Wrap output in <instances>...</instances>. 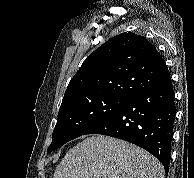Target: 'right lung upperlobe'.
<instances>
[{
  "label": "right lung upper lobe",
  "mask_w": 194,
  "mask_h": 178,
  "mask_svg": "<svg viewBox=\"0 0 194 178\" xmlns=\"http://www.w3.org/2000/svg\"><path fill=\"white\" fill-rule=\"evenodd\" d=\"M171 80L160 53L145 37L121 33L96 49L71 79L61 107L79 99L134 95Z\"/></svg>",
  "instance_id": "1"
}]
</instances>
